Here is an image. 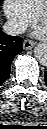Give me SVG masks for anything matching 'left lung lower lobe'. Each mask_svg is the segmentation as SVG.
Returning <instances> with one entry per match:
<instances>
[{
  "label": "left lung lower lobe",
  "instance_id": "left-lung-lower-lobe-1",
  "mask_svg": "<svg viewBox=\"0 0 47 129\" xmlns=\"http://www.w3.org/2000/svg\"><path fill=\"white\" fill-rule=\"evenodd\" d=\"M45 80H46V83H47V71L45 72Z\"/></svg>",
  "mask_w": 47,
  "mask_h": 129
}]
</instances>
